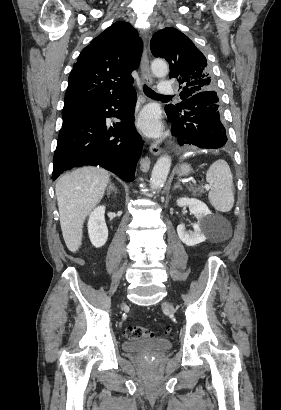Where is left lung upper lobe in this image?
Listing matches in <instances>:
<instances>
[{
    "label": "left lung upper lobe",
    "instance_id": "1",
    "mask_svg": "<svg viewBox=\"0 0 281 410\" xmlns=\"http://www.w3.org/2000/svg\"><path fill=\"white\" fill-rule=\"evenodd\" d=\"M152 54L168 61L170 78L181 84L180 98L184 101L204 91H215L216 84L205 56L194 43L175 28H164L156 32L150 42ZM165 111L176 114L182 111V102L168 105Z\"/></svg>",
    "mask_w": 281,
    "mask_h": 410
}]
</instances>
